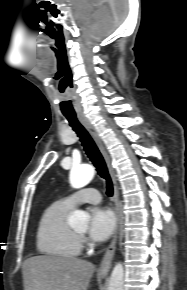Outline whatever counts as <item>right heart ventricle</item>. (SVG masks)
<instances>
[{"instance_id": "1", "label": "right heart ventricle", "mask_w": 187, "mask_h": 290, "mask_svg": "<svg viewBox=\"0 0 187 290\" xmlns=\"http://www.w3.org/2000/svg\"><path fill=\"white\" fill-rule=\"evenodd\" d=\"M71 209L64 201H56L42 213L36 234L37 248L42 254L55 258L78 256L80 239L67 224Z\"/></svg>"}]
</instances>
